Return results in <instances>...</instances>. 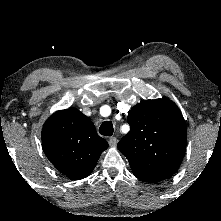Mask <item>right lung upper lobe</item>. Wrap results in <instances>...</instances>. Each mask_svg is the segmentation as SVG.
Masks as SVG:
<instances>
[{"mask_svg":"<svg viewBox=\"0 0 221 221\" xmlns=\"http://www.w3.org/2000/svg\"><path fill=\"white\" fill-rule=\"evenodd\" d=\"M42 143L52 164L73 180L87 177L108 148L92 121L74 108L57 111L48 118Z\"/></svg>","mask_w":221,"mask_h":221,"instance_id":"cb5924a9","label":"right lung upper lobe"}]
</instances>
